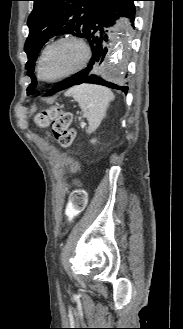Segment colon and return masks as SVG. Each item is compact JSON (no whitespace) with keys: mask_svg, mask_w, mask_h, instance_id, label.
<instances>
[{"mask_svg":"<svg viewBox=\"0 0 183 329\" xmlns=\"http://www.w3.org/2000/svg\"><path fill=\"white\" fill-rule=\"evenodd\" d=\"M72 115L59 106L50 105L42 109L35 117V122L40 127H49L52 136L63 147L71 145L74 131L70 127ZM87 203V194L82 189L74 190L70 197L68 206H64L62 221H73V218L82 217Z\"/></svg>","mask_w":183,"mask_h":329,"instance_id":"5ec220e1","label":"colon"}]
</instances>
